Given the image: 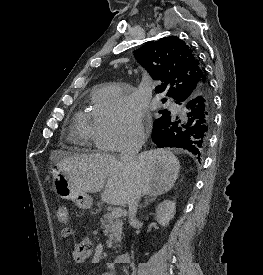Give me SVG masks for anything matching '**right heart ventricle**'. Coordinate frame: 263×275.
<instances>
[{
    "label": "right heart ventricle",
    "instance_id": "right-heart-ventricle-1",
    "mask_svg": "<svg viewBox=\"0 0 263 275\" xmlns=\"http://www.w3.org/2000/svg\"><path fill=\"white\" fill-rule=\"evenodd\" d=\"M95 134V115L79 113L75 117L72 140L75 144L86 145Z\"/></svg>",
    "mask_w": 263,
    "mask_h": 275
}]
</instances>
